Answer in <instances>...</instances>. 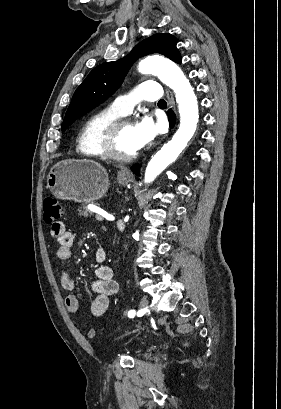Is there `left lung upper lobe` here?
Segmentation results:
<instances>
[{
    "label": "left lung upper lobe",
    "instance_id": "left-lung-upper-lobe-1",
    "mask_svg": "<svg viewBox=\"0 0 281 409\" xmlns=\"http://www.w3.org/2000/svg\"><path fill=\"white\" fill-rule=\"evenodd\" d=\"M176 43V38L171 34H154L140 42L126 57L103 63L94 68L76 89L66 112L62 131L66 130L76 119L107 100L121 85L132 64L140 57L160 53L180 63L181 56Z\"/></svg>",
    "mask_w": 281,
    "mask_h": 409
}]
</instances>
